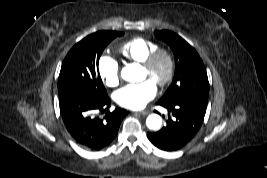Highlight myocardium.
Wrapping results in <instances>:
<instances>
[{"label":"myocardium","instance_id":"myocardium-1","mask_svg":"<svg viewBox=\"0 0 267 178\" xmlns=\"http://www.w3.org/2000/svg\"><path fill=\"white\" fill-rule=\"evenodd\" d=\"M160 58H164L166 60L167 71L162 79L156 81V84L163 87L170 83L174 76L175 58L173 53L167 48L157 47L147 55V57L141 62V65L144 69L150 71Z\"/></svg>","mask_w":267,"mask_h":178}]
</instances>
